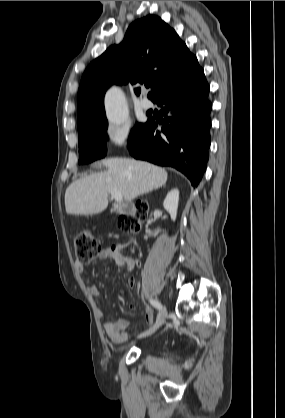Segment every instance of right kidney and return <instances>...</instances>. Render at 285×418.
Instances as JSON below:
<instances>
[{"label": "right kidney", "instance_id": "1", "mask_svg": "<svg viewBox=\"0 0 285 418\" xmlns=\"http://www.w3.org/2000/svg\"><path fill=\"white\" fill-rule=\"evenodd\" d=\"M178 201H179V190L172 189L167 194L163 202L164 209L170 214L171 219L173 221H175L177 217Z\"/></svg>", "mask_w": 285, "mask_h": 418}]
</instances>
